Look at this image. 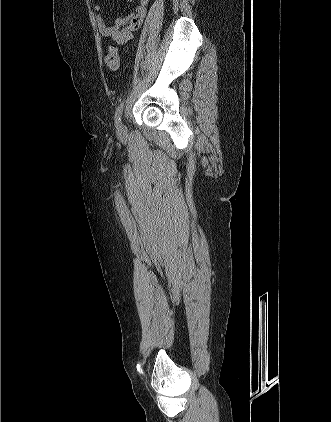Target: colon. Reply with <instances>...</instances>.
I'll return each instance as SVG.
<instances>
[{
	"label": "colon",
	"mask_w": 331,
	"mask_h": 422,
	"mask_svg": "<svg viewBox=\"0 0 331 422\" xmlns=\"http://www.w3.org/2000/svg\"><path fill=\"white\" fill-rule=\"evenodd\" d=\"M106 63L111 70H116L120 64V53L116 46H109L106 54Z\"/></svg>",
	"instance_id": "colon-1"
}]
</instances>
